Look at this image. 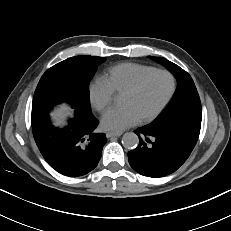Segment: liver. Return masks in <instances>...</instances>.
Masks as SVG:
<instances>
[{
	"instance_id": "obj_1",
	"label": "liver",
	"mask_w": 231,
	"mask_h": 231,
	"mask_svg": "<svg viewBox=\"0 0 231 231\" xmlns=\"http://www.w3.org/2000/svg\"><path fill=\"white\" fill-rule=\"evenodd\" d=\"M71 114L70 108L63 105L59 109L52 113L53 118L56 120V124H61L65 115Z\"/></svg>"
}]
</instances>
